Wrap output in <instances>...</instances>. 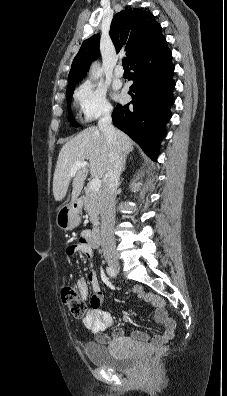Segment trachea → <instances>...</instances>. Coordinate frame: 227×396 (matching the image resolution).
Segmentation results:
<instances>
[{
	"mask_svg": "<svg viewBox=\"0 0 227 396\" xmlns=\"http://www.w3.org/2000/svg\"><path fill=\"white\" fill-rule=\"evenodd\" d=\"M122 64H123V67L124 68H127V67H129V65H128V59L125 57V58H123V60H122Z\"/></svg>",
	"mask_w": 227,
	"mask_h": 396,
	"instance_id": "3493384b",
	"label": "trachea"
}]
</instances>
